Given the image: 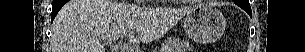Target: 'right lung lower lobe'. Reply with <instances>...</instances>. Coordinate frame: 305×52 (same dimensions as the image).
<instances>
[{
  "instance_id": "1",
  "label": "right lung lower lobe",
  "mask_w": 305,
  "mask_h": 52,
  "mask_svg": "<svg viewBox=\"0 0 305 52\" xmlns=\"http://www.w3.org/2000/svg\"><path fill=\"white\" fill-rule=\"evenodd\" d=\"M67 2V0H53L52 5V14H51V21L54 20L55 16L57 15L58 11L61 7Z\"/></svg>"
}]
</instances>
